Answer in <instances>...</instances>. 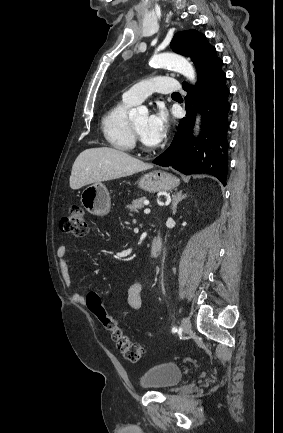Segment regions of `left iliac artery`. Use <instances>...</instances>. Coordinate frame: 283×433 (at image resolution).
<instances>
[{
    "label": "left iliac artery",
    "mask_w": 283,
    "mask_h": 433,
    "mask_svg": "<svg viewBox=\"0 0 283 433\" xmlns=\"http://www.w3.org/2000/svg\"><path fill=\"white\" fill-rule=\"evenodd\" d=\"M176 331H177V328L173 327L172 332H176Z\"/></svg>",
    "instance_id": "obj_1"
}]
</instances>
